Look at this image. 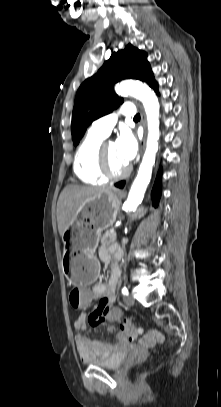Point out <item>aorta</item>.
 Wrapping results in <instances>:
<instances>
[{"label": "aorta", "mask_w": 221, "mask_h": 407, "mask_svg": "<svg viewBox=\"0 0 221 407\" xmlns=\"http://www.w3.org/2000/svg\"><path fill=\"white\" fill-rule=\"evenodd\" d=\"M115 92L118 95H131L143 103L148 125V136L145 153L140 164L138 174L129 191L123 208L126 212L134 211L142 202L146 188L152 176L158 151L159 132V109L160 105L156 94L151 88L139 81H123L116 85Z\"/></svg>", "instance_id": "762f6f07"}]
</instances>
